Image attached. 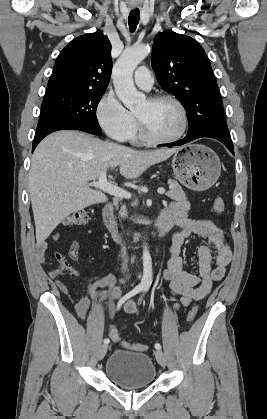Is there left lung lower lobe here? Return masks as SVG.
I'll return each instance as SVG.
<instances>
[{"label": "left lung lower lobe", "mask_w": 267, "mask_h": 419, "mask_svg": "<svg viewBox=\"0 0 267 419\" xmlns=\"http://www.w3.org/2000/svg\"><path fill=\"white\" fill-rule=\"evenodd\" d=\"M214 121V118L212 116H207L204 118H199L195 120L190 126L188 130V134L185 136V138L176 141L174 143L167 144V147H173V146H179L186 144L192 140H195L197 138L202 137H209L214 138L219 141H221L232 154H234V148H233V142L230 137V133L228 128H223L219 131H212V123Z\"/></svg>", "instance_id": "1"}]
</instances>
